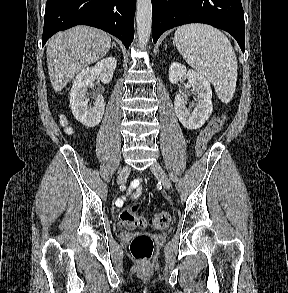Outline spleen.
<instances>
[{
  "mask_svg": "<svg viewBox=\"0 0 288 293\" xmlns=\"http://www.w3.org/2000/svg\"><path fill=\"white\" fill-rule=\"evenodd\" d=\"M174 42L185 61L214 86L219 99L229 102L236 89L237 59L228 38L205 24L177 28Z\"/></svg>",
  "mask_w": 288,
  "mask_h": 293,
  "instance_id": "3e777b00",
  "label": "spleen"
}]
</instances>
